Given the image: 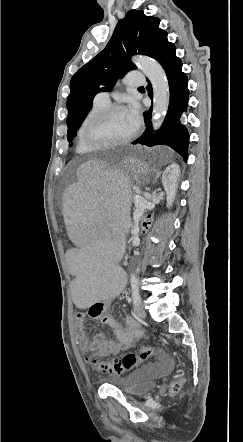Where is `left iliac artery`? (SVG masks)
<instances>
[{
	"label": "left iliac artery",
	"instance_id": "44dca946",
	"mask_svg": "<svg viewBox=\"0 0 243 442\" xmlns=\"http://www.w3.org/2000/svg\"><path fill=\"white\" fill-rule=\"evenodd\" d=\"M132 299H133V304L134 305H138L141 303V298L139 295V290H138V286L137 283H135V281H132Z\"/></svg>",
	"mask_w": 243,
	"mask_h": 442
}]
</instances>
